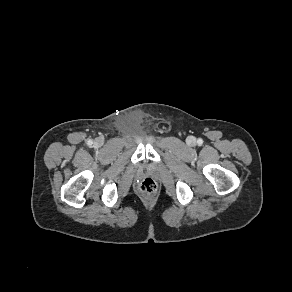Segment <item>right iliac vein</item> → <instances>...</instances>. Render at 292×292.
Instances as JSON below:
<instances>
[{"label":"right iliac vein","instance_id":"obj_1","mask_svg":"<svg viewBox=\"0 0 292 292\" xmlns=\"http://www.w3.org/2000/svg\"><path fill=\"white\" fill-rule=\"evenodd\" d=\"M95 144H96L97 146H101V145L103 144V141H102L101 139H97V140L95 141Z\"/></svg>","mask_w":292,"mask_h":292}]
</instances>
